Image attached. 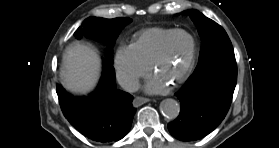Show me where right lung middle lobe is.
Segmentation results:
<instances>
[{
  "label": "right lung middle lobe",
  "instance_id": "right-lung-middle-lobe-1",
  "mask_svg": "<svg viewBox=\"0 0 279 148\" xmlns=\"http://www.w3.org/2000/svg\"><path fill=\"white\" fill-rule=\"evenodd\" d=\"M131 19L129 18H114L105 19L97 17H89L82 23L74 36L80 38L85 35L88 38L98 39L99 41H107L112 47L121 29L127 25ZM108 61L112 63V50L108 52Z\"/></svg>",
  "mask_w": 279,
  "mask_h": 148
}]
</instances>
